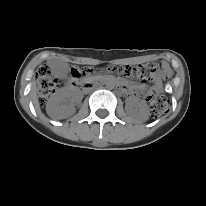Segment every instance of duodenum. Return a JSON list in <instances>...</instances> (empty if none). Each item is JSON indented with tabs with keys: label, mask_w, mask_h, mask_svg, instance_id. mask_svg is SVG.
I'll use <instances>...</instances> for the list:
<instances>
[{
	"label": "duodenum",
	"mask_w": 206,
	"mask_h": 206,
	"mask_svg": "<svg viewBox=\"0 0 206 206\" xmlns=\"http://www.w3.org/2000/svg\"><path fill=\"white\" fill-rule=\"evenodd\" d=\"M97 81H103V79H99V80H97ZM71 83H72L73 86H75V87H77V88H79V89L84 88L85 90H90V89L92 88V86H93V83H92V82H86V83H84L83 81L78 80V79H76V78L73 79ZM118 87H119L120 89H123V88L125 87V84H124L123 82H120V83L118 84Z\"/></svg>",
	"instance_id": "duodenum-1"
}]
</instances>
